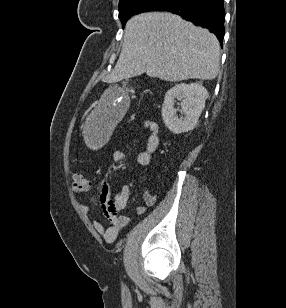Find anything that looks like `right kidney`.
I'll list each match as a JSON object with an SVG mask.
<instances>
[{"instance_id":"right-kidney-1","label":"right kidney","mask_w":286,"mask_h":308,"mask_svg":"<svg viewBox=\"0 0 286 308\" xmlns=\"http://www.w3.org/2000/svg\"><path fill=\"white\" fill-rule=\"evenodd\" d=\"M208 91L200 83L177 84L169 89L162 105V118L166 127L174 134L192 130L205 107ZM175 99L181 101L183 117L176 116Z\"/></svg>"}]
</instances>
